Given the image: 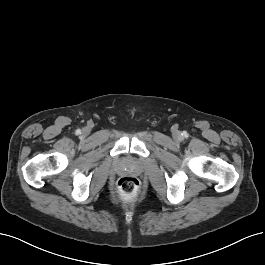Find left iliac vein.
Returning a JSON list of instances; mask_svg holds the SVG:
<instances>
[{
    "label": "left iliac vein",
    "mask_w": 265,
    "mask_h": 265,
    "mask_svg": "<svg viewBox=\"0 0 265 265\" xmlns=\"http://www.w3.org/2000/svg\"><path fill=\"white\" fill-rule=\"evenodd\" d=\"M176 137H178V138H179V134H178V133H176Z\"/></svg>",
    "instance_id": "4c4485c4"
}]
</instances>
